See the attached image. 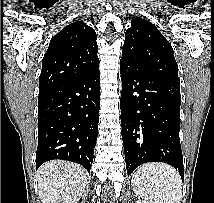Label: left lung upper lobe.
I'll list each match as a JSON object with an SVG mask.
<instances>
[{"instance_id":"obj_1","label":"left lung upper lobe","mask_w":214,"mask_h":203,"mask_svg":"<svg viewBox=\"0 0 214 203\" xmlns=\"http://www.w3.org/2000/svg\"><path fill=\"white\" fill-rule=\"evenodd\" d=\"M122 60L133 67L180 83L173 49L151 22L136 17L125 33Z\"/></svg>"}]
</instances>
